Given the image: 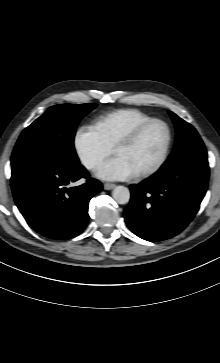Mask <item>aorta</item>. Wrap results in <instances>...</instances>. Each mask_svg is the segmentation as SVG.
<instances>
[{"instance_id":"aorta-1","label":"aorta","mask_w":220,"mask_h":363,"mask_svg":"<svg viewBox=\"0 0 220 363\" xmlns=\"http://www.w3.org/2000/svg\"><path fill=\"white\" fill-rule=\"evenodd\" d=\"M112 196L118 204H126L130 200V191L127 187L116 186L112 191Z\"/></svg>"}]
</instances>
